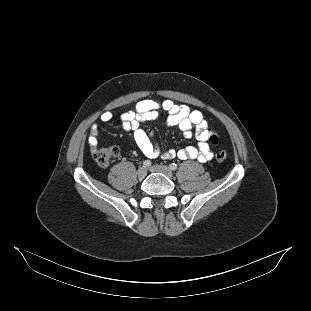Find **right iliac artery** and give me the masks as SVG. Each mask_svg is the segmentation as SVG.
<instances>
[{"instance_id": "obj_1", "label": "right iliac artery", "mask_w": 311, "mask_h": 311, "mask_svg": "<svg viewBox=\"0 0 311 311\" xmlns=\"http://www.w3.org/2000/svg\"><path fill=\"white\" fill-rule=\"evenodd\" d=\"M149 166H151V161H150V160H145V161L143 162V167H144V168H148Z\"/></svg>"}]
</instances>
